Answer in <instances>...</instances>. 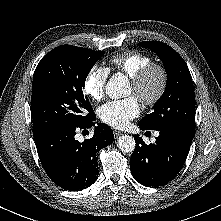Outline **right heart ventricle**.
<instances>
[{
  "label": "right heart ventricle",
  "instance_id": "1",
  "mask_svg": "<svg viewBox=\"0 0 221 221\" xmlns=\"http://www.w3.org/2000/svg\"><path fill=\"white\" fill-rule=\"evenodd\" d=\"M152 62L153 58L149 54L136 50L115 54L110 59L112 69L123 72L130 78Z\"/></svg>",
  "mask_w": 221,
  "mask_h": 221
}]
</instances>
